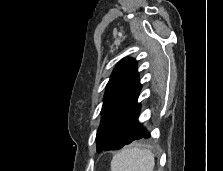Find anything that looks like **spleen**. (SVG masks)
Returning a JSON list of instances; mask_svg holds the SVG:
<instances>
[{"instance_id": "1", "label": "spleen", "mask_w": 223, "mask_h": 171, "mask_svg": "<svg viewBox=\"0 0 223 171\" xmlns=\"http://www.w3.org/2000/svg\"><path fill=\"white\" fill-rule=\"evenodd\" d=\"M154 154L148 149L127 148L113 156L111 171H153Z\"/></svg>"}]
</instances>
